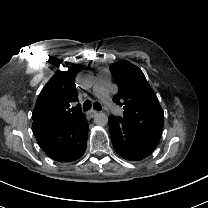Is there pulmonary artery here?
Here are the masks:
<instances>
[{"instance_id":"e3ab8cb5","label":"pulmonary artery","mask_w":208,"mask_h":208,"mask_svg":"<svg viewBox=\"0 0 208 208\" xmlns=\"http://www.w3.org/2000/svg\"><path fill=\"white\" fill-rule=\"evenodd\" d=\"M109 80L108 70H103L94 77L93 93L98 95L100 100L103 102L106 108L110 109L112 112L118 111V106L114 104L107 96L105 90L107 88V83ZM118 115V113H117Z\"/></svg>"}]
</instances>
